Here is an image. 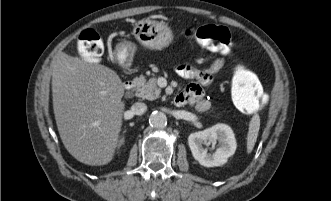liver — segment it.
I'll return each mask as SVG.
<instances>
[{
    "label": "liver",
    "mask_w": 331,
    "mask_h": 201,
    "mask_svg": "<svg viewBox=\"0 0 331 201\" xmlns=\"http://www.w3.org/2000/svg\"><path fill=\"white\" fill-rule=\"evenodd\" d=\"M53 109L66 150L81 163L108 164L123 122L124 85L101 64L58 53L52 63Z\"/></svg>",
    "instance_id": "1"
}]
</instances>
